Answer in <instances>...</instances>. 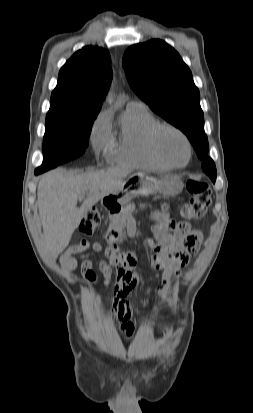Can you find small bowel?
Returning <instances> with one entry per match:
<instances>
[{
    "instance_id": "1",
    "label": "small bowel",
    "mask_w": 253,
    "mask_h": 413,
    "mask_svg": "<svg viewBox=\"0 0 253 413\" xmlns=\"http://www.w3.org/2000/svg\"><path fill=\"white\" fill-rule=\"evenodd\" d=\"M152 220L157 243L149 242L155 249L151 264L154 269L162 271L159 293L165 294L172 276H178L181 268L199 249L203 235L201 231L192 228L189 224L173 220L168 212H155ZM99 253H103L106 257L98 265L106 285L110 282L112 268L117 267L113 311L121 331L130 338L134 333V325L131 322L132 307L127 297L140 283V277L134 270L135 254L122 253L117 255L111 248L105 247L99 242L90 244L83 240L71 246L61 256L60 262L63 269L69 272L75 270L80 264L84 277L93 282L96 279L93 270V256Z\"/></svg>"
}]
</instances>
